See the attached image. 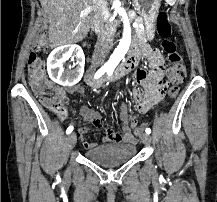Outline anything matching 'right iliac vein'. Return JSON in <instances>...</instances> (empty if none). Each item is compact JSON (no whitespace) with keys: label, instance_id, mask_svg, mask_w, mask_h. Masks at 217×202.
<instances>
[{"label":"right iliac vein","instance_id":"1","mask_svg":"<svg viewBox=\"0 0 217 202\" xmlns=\"http://www.w3.org/2000/svg\"><path fill=\"white\" fill-rule=\"evenodd\" d=\"M68 147L69 149H73L77 143V137H76V134L75 133H71L68 137Z\"/></svg>","mask_w":217,"mask_h":202}]
</instances>
